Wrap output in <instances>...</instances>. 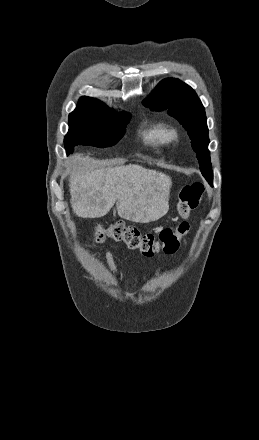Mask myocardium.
I'll list each match as a JSON object with an SVG mask.
<instances>
[{
  "label": "myocardium",
  "mask_w": 259,
  "mask_h": 440,
  "mask_svg": "<svg viewBox=\"0 0 259 440\" xmlns=\"http://www.w3.org/2000/svg\"><path fill=\"white\" fill-rule=\"evenodd\" d=\"M167 134L169 141H177L180 138V131L174 126L168 127Z\"/></svg>",
  "instance_id": "myocardium-1"
}]
</instances>
